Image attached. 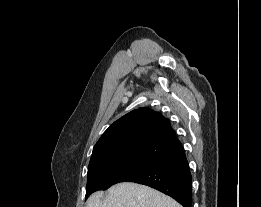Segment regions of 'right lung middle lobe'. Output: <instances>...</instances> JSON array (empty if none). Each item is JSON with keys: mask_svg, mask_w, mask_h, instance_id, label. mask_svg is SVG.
I'll use <instances>...</instances> for the list:
<instances>
[{"mask_svg": "<svg viewBox=\"0 0 261 207\" xmlns=\"http://www.w3.org/2000/svg\"><path fill=\"white\" fill-rule=\"evenodd\" d=\"M159 161L145 157H126L88 166L86 198L97 190L125 181L132 175L142 172Z\"/></svg>", "mask_w": 261, "mask_h": 207, "instance_id": "obj_1", "label": "right lung middle lobe"}]
</instances>
